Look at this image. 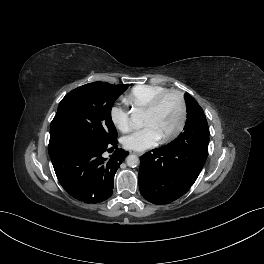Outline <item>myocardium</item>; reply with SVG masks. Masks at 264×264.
<instances>
[{
	"mask_svg": "<svg viewBox=\"0 0 264 264\" xmlns=\"http://www.w3.org/2000/svg\"><path fill=\"white\" fill-rule=\"evenodd\" d=\"M170 95H174L179 102L180 119L173 131L161 137V140L163 142H167L176 138L184 129L187 120V105L184 95L178 90L167 89L162 93L158 94L145 108V112H154L158 109L161 103Z\"/></svg>",
	"mask_w": 264,
	"mask_h": 264,
	"instance_id": "myocardium-1",
	"label": "myocardium"
}]
</instances>
